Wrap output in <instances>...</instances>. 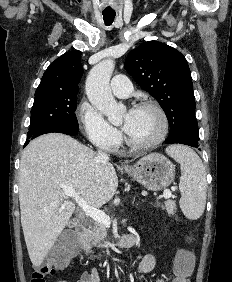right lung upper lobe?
Returning <instances> with one entry per match:
<instances>
[{
	"mask_svg": "<svg viewBox=\"0 0 232 282\" xmlns=\"http://www.w3.org/2000/svg\"><path fill=\"white\" fill-rule=\"evenodd\" d=\"M81 52H67L53 61L46 69L35 93H78L83 75Z\"/></svg>",
	"mask_w": 232,
	"mask_h": 282,
	"instance_id": "right-lung-upper-lobe-1",
	"label": "right lung upper lobe"
}]
</instances>
